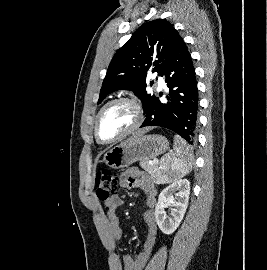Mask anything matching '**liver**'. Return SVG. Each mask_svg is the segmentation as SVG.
I'll use <instances>...</instances> for the list:
<instances>
[{
  "label": "liver",
  "instance_id": "6515ba94",
  "mask_svg": "<svg viewBox=\"0 0 267 270\" xmlns=\"http://www.w3.org/2000/svg\"><path fill=\"white\" fill-rule=\"evenodd\" d=\"M149 130H151L150 127L144 128V129H141V130L137 131L131 138L128 139V141L134 140L135 138L140 137L141 135L145 134V133L148 132Z\"/></svg>",
  "mask_w": 267,
  "mask_h": 270
}]
</instances>
